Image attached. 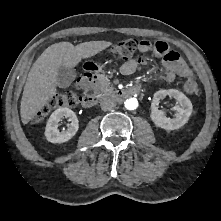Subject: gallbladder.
Returning <instances> with one entry per match:
<instances>
[{
    "label": "gallbladder",
    "mask_w": 221,
    "mask_h": 221,
    "mask_svg": "<svg viewBox=\"0 0 221 221\" xmlns=\"http://www.w3.org/2000/svg\"><path fill=\"white\" fill-rule=\"evenodd\" d=\"M77 73L73 68L59 66L57 75V86L67 88L75 80Z\"/></svg>",
    "instance_id": "gallbladder-1"
}]
</instances>
